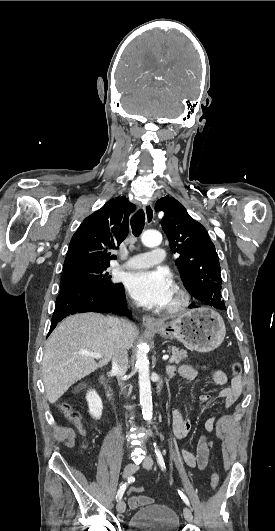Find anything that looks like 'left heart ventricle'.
I'll list each match as a JSON object with an SVG mask.
<instances>
[{"label":"left heart ventricle","instance_id":"1","mask_svg":"<svg viewBox=\"0 0 275 531\" xmlns=\"http://www.w3.org/2000/svg\"><path fill=\"white\" fill-rule=\"evenodd\" d=\"M174 299H175V293H174L173 288H172L170 296H169V299H168V301H167L165 306L169 305Z\"/></svg>","mask_w":275,"mask_h":531}]
</instances>
